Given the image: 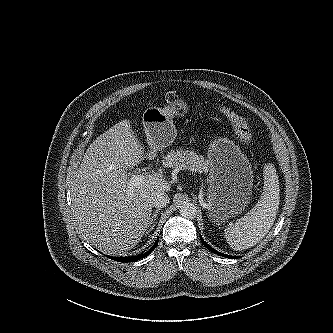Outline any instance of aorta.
Returning <instances> with one entry per match:
<instances>
[{"mask_svg": "<svg viewBox=\"0 0 333 333\" xmlns=\"http://www.w3.org/2000/svg\"><path fill=\"white\" fill-rule=\"evenodd\" d=\"M180 215L187 219H194L197 215V207L193 203H183L180 206Z\"/></svg>", "mask_w": 333, "mask_h": 333, "instance_id": "1", "label": "aorta"}]
</instances>
